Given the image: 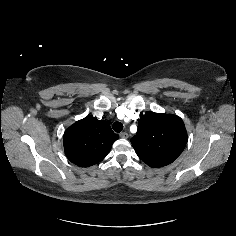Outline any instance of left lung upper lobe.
Here are the masks:
<instances>
[{"mask_svg": "<svg viewBox=\"0 0 236 236\" xmlns=\"http://www.w3.org/2000/svg\"><path fill=\"white\" fill-rule=\"evenodd\" d=\"M186 142L187 131L180 117L154 112L141 116L137 134L131 139L139 158L154 168L175 161Z\"/></svg>", "mask_w": 236, "mask_h": 236, "instance_id": "1", "label": "left lung upper lobe"}]
</instances>
